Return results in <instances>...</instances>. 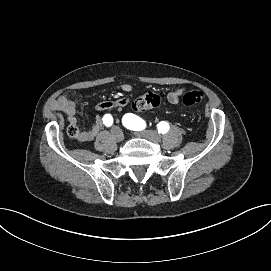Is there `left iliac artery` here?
<instances>
[{
	"label": "left iliac artery",
	"mask_w": 271,
	"mask_h": 271,
	"mask_svg": "<svg viewBox=\"0 0 271 271\" xmlns=\"http://www.w3.org/2000/svg\"><path fill=\"white\" fill-rule=\"evenodd\" d=\"M122 123L127 129L134 130V131H140L146 127L145 121L132 113L125 114L123 116ZM157 127H158V132L159 133L161 132L162 134L167 133L169 130V124L165 121H161L157 125Z\"/></svg>",
	"instance_id": "obj_1"
}]
</instances>
